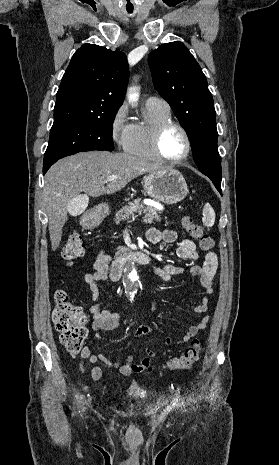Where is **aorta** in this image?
Returning a JSON list of instances; mask_svg holds the SVG:
<instances>
[{"label":"aorta","instance_id":"aorta-1","mask_svg":"<svg viewBox=\"0 0 279 465\" xmlns=\"http://www.w3.org/2000/svg\"><path fill=\"white\" fill-rule=\"evenodd\" d=\"M137 96H138V95H137L136 93H131V94L129 95V99L132 100V101H135V100L137 99ZM136 284H137V276H136V273H135V271H134L132 268H130L129 271H128V273H127V286H128V288L132 291V292H131V295H132V296H133L134 293H135V291H133V290H134Z\"/></svg>","mask_w":279,"mask_h":465}]
</instances>
